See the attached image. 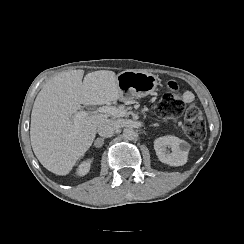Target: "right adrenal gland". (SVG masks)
Segmentation results:
<instances>
[{
  "label": "right adrenal gland",
  "instance_id": "obj_1",
  "mask_svg": "<svg viewBox=\"0 0 244 244\" xmlns=\"http://www.w3.org/2000/svg\"><path fill=\"white\" fill-rule=\"evenodd\" d=\"M98 139L104 141L106 138H105V137H98L97 140H98Z\"/></svg>",
  "mask_w": 244,
  "mask_h": 244
}]
</instances>
